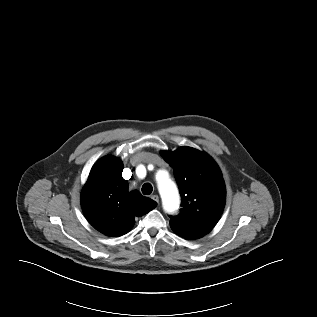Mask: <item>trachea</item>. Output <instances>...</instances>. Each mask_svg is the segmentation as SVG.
<instances>
[{"mask_svg":"<svg viewBox=\"0 0 317 317\" xmlns=\"http://www.w3.org/2000/svg\"><path fill=\"white\" fill-rule=\"evenodd\" d=\"M153 191V187L150 183H145L143 186H142V193L144 195H150Z\"/></svg>","mask_w":317,"mask_h":317,"instance_id":"1","label":"trachea"}]
</instances>
